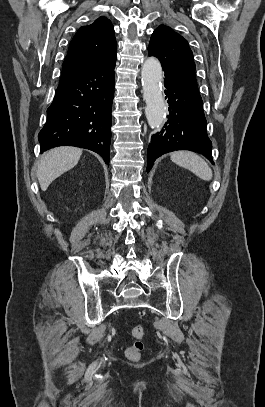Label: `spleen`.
I'll list each match as a JSON object with an SVG mask.
<instances>
[{
    "label": "spleen",
    "instance_id": "3e777b00",
    "mask_svg": "<svg viewBox=\"0 0 265 407\" xmlns=\"http://www.w3.org/2000/svg\"><path fill=\"white\" fill-rule=\"evenodd\" d=\"M171 160L184 167L202 180H211L213 173L209 165L196 153L190 151H177L171 154Z\"/></svg>",
    "mask_w": 265,
    "mask_h": 407
}]
</instances>
